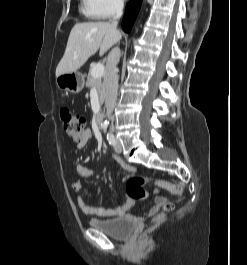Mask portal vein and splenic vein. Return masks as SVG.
Listing matches in <instances>:
<instances>
[{
    "label": "portal vein and splenic vein",
    "instance_id": "portal-vein-and-splenic-vein-1",
    "mask_svg": "<svg viewBox=\"0 0 247 265\" xmlns=\"http://www.w3.org/2000/svg\"><path fill=\"white\" fill-rule=\"evenodd\" d=\"M105 71V67L103 64H96L92 70H91V74L94 78H98L101 77L104 74Z\"/></svg>",
    "mask_w": 247,
    "mask_h": 265
}]
</instances>
